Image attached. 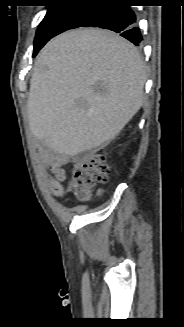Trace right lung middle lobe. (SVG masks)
I'll return each mask as SVG.
<instances>
[{
    "mask_svg": "<svg viewBox=\"0 0 184 327\" xmlns=\"http://www.w3.org/2000/svg\"><path fill=\"white\" fill-rule=\"evenodd\" d=\"M47 7H49L47 14L40 23L36 33L33 56H35L52 37L71 29L90 6L63 4Z\"/></svg>",
    "mask_w": 184,
    "mask_h": 327,
    "instance_id": "1",
    "label": "right lung middle lobe"
}]
</instances>
